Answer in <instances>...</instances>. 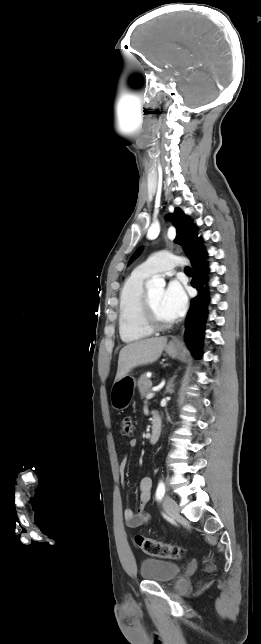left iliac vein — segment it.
<instances>
[{
  "label": "left iliac vein",
  "mask_w": 261,
  "mask_h": 644,
  "mask_svg": "<svg viewBox=\"0 0 261 644\" xmlns=\"http://www.w3.org/2000/svg\"><path fill=\"white\" fill-rule=\"evenodd\" d=\"M164 510L172 517L179 515L178 504L170 496L166 495L163 499Z\"/></svg>",
  "instance_id": "4c4485c4"
}]
</instances>
